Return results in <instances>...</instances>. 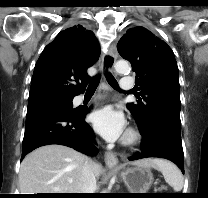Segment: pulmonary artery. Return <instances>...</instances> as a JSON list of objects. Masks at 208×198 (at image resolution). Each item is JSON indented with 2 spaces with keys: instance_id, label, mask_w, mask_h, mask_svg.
Returning <instances> with one entry per match:
<instances>
[{
  "instance_id": "obj_1",
  "label": "pulmonary artery",
  "mask_w": 208,
  "mask_h": 198,
  "mask_svg": "<svg viewBox=\"0 0 208 198\" xmlns=\"http://www.w3.org/2000/svg\"><path fill=\"white\" fill-rule=\"evenodd\" d=\"M120 86L123 90L128 91L133 87V80L130 77H124L120 81Z\"/></svg>"
}]
</instances>
